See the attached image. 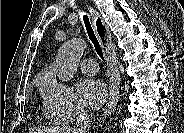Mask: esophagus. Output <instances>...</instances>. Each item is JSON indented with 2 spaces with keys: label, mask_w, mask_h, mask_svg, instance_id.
Wrapping results in <instances>:
<instances>
[{
  "label": "esophagus",
  "mask_w": 184,
  "mask_h": 133,
  "mask_svg": "<svg viewBox=\"0 0 184 133\" xmlns=\"http://www.w3.org/2000/svg\"><path fill=\"white\" fill-rule=\"evenodd\" d=\"M88 9H89V13L91 16V20H92L96 35L102 45V48L104 49L106 60L111 70L110 79L113 81L116 77L117 70H116L115 62L113 60L114 51H113V44L111 41V34L104 20L100 16V14L96 12L91 6H88ZM115 105H116L115 98L112 95V91H110V97H109L108 103L104 107L103 118H106L111 114V112L115 108Z\"/></svg>",
  "instance_id": "obj_1"
}]
</instances>
